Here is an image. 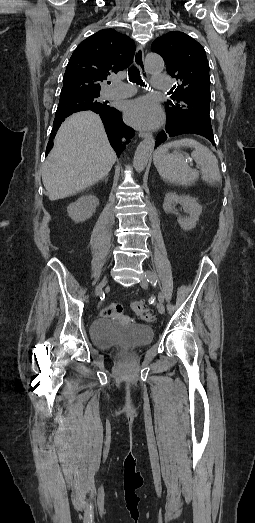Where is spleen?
<instances>
[{"instance_id":"spleen-1","label":"spleen","mask_w":255,"mask_h":523,"mask_svg":"<svg viewBox=\"0 0 255 523\" xmlns=\"http://www.w3.org/2000/svg\"><path fill=\"white\" fill-rule=\"evenodd\" d=\"M194 148L191 158L195 160L196 164L200 166L202 180L207 184H216L220 182L221 176L218 168V160L211 150L206 146H202L196 140L191 138H183V140H175L157 148L154 152L153 162L157 172L165 182L170 184H177V186H192L199 178L198 170H192L185 162L182 154H178L177 148ZM174 148L173 154H168V150Z\"/></svg>"}]
</instances>
